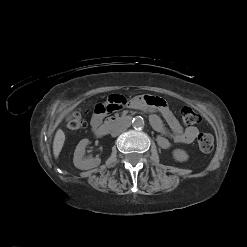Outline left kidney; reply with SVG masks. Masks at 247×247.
Instances as JSON below:
<instances>
[{"mask_svg":"<svg viewBox=\"0 0 247 247\" xmlns=\"http://www.w3.org/2000/svg\"><path fill=\"white\" fill-rule=\"evenodd\" d=\"M172 154H173V158L177 162H185L189 158V155L186 153V151H184L182 149H175V150H173Z\"/></svg>","mask_w":247,"mask_h":247,"instance_id":"1","label":"left kidney"}]
</instances>
